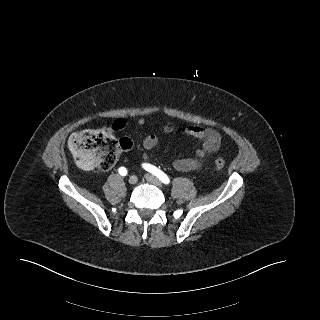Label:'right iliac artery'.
<instances>
[{
	"instance_id": "obj_1",
	"label": "right iliac artery",
	"mask_w": 320,
	"mask_h": 320,
	"mask_svg": "<svg viewBox=\"0 0 320 320\" xmlns=\"http://www.w3.org/2000/svg\"><path fill=\"white\" fill-rule=\"evenodd\" d=\"M118 171L122 176H126L128 174V171L124 167H120Z\"/></svg>"
}]
</instances>
